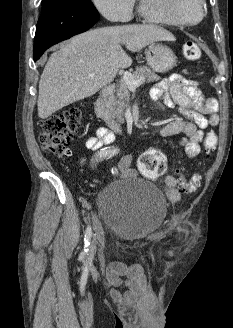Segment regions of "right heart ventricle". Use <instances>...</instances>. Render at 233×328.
I'll use <instances>...</instances> for the list:
<instances>
[{"label":"right heart ventricle","mask_w":233,"mask_h":328,"mask_svg":"<svg viewBox=\"0 0 233 328\" xmlns=\"http://www.w3.org/2000/svg\"><path fill=\"white\" fill-rule=\"evenodd\" d=\"M139 13H140L143 17H145L146 19H148V20H150V21H153V20H151L149 17H147V16L144 14V12L142 11L141 7H139Z\"/></svg>","instance_id":"1"}]
</instances>
